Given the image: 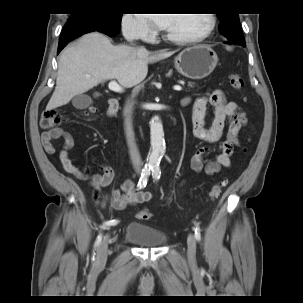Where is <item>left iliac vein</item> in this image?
Here are the masks:
<instances>
[{
	"label": "left iliac vein",
	"instance_id": "obj_1",
	"mask_svg": "<svg viewBox=\"0 0 303 303\" xmlns=\"http://www.w3.org/2000/svg\"><path fill=\"white\" fill-rule=\"evenodd\" d=\"M187 255L189 261L194 264L196 262V239L193 234L188 236Z\"/></svg>",
	"mask_w": 303,
	"mask_h": 303
}]
</instances>
